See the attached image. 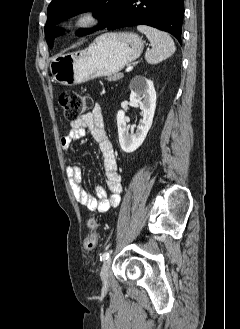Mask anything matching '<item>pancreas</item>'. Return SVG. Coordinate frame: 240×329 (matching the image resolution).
I'll return each instance as SVG.
<instances>
[{
    "label": "pancreas",
    "instance_id": "pancreas-1",
    "mask_svg": "<svg viewBox=\"0 0 240 329\" xmlns=\"http://www.w3.org/2000/svg\"><path fill=\"white\" fill-rule=\"evenodd\" d=\"M122 77H123V74L117 73V74H114L113 76H110L108 78V80L109 81H117V80H120Z\"/></svg>",
    "mask_w": 240,
    "mask_h": 329
}]
</instances>
